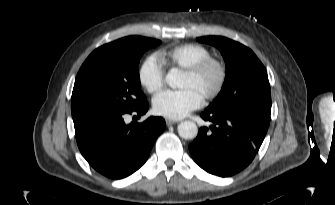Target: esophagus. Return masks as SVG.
<instances>
[{"label":"esophagus","mask_w":335,"mask_h":205,"mask_svg":"<svg viewBox=\"0 0 335 205\" xmlns=\"http://www.w3.org/2000/svg\"><path fill=\"white\" fill-rule=\"evenodd\" d=\"M178 121H176V120H170V119H167L166 120V124L168 125V126H170V125H173V124H175V123H177Z\"/></svg>","instance_id":"esophagus-1"}]
</instances>
